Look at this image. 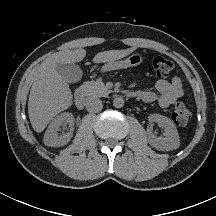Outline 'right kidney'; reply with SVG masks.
<instances>
[{"label":"right kidney","instance_id":"right-kidney-1","mask_svg":"<svg viewBox=\"0 0 216 216\" xmlns=\"http://www.w3.org/2000/svg\"><path fill=\"white\" fill-rule=\"evenodd\" d=\"M64 123L69 124V127L74 125V116L69 112L61 113L56 116L48 126L44 135V144L51 147H59L66 145L71 139V132L59 135L60 126ZM72 130V128H71Z\"/></svg>","mask_w":216,"mask_h":216}]
</instances>
